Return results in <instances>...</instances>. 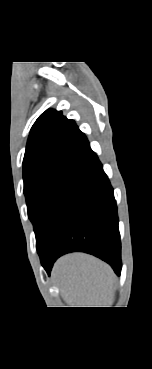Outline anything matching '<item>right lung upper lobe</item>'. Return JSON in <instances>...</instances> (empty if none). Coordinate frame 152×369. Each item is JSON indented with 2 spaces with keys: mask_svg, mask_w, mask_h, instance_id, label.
Returning <instances> with one entry per match:
<instances>
[{
  "mask_svg": "<svg viewBox=\"0 0 152 369\" xmlns=\"http://www.w3.org/2000/svg\"><path fill=\"white\" fill-rule=\"evenodd\" d=\"M93 151L73 120L61 111L46 110L31 128L23 160V175L61 163L81 164Z\"/></svg>",
  "mask_w": 152,
  "mask_h": 369,
  "instance_id": "1",
  "label": "right lung upper lobe"
}]
</instances>
